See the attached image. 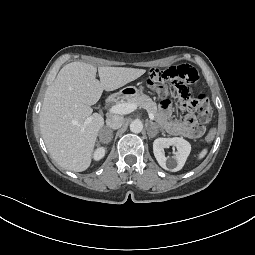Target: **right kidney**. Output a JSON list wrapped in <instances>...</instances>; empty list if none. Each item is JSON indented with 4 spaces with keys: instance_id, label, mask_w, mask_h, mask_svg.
<instances>
[{
    "instance_id": "right-kidney-1",
    "label": "right kidney",
    "mask_w": 255,
    "mask_h": 255,
    "mask_svg": "<svg viewBox=\"0 0 255 255\" xmlns=\"http://www.w3.org/2000/svg\"><path fill=\"white\" fill-rule=\"evenodd\" d=\"M104 155H105V148L99 147L94 152V156L93 157H94V159L96 161H98V160L102 159L104 157Z\"/></svg>"
}]
</instances>
